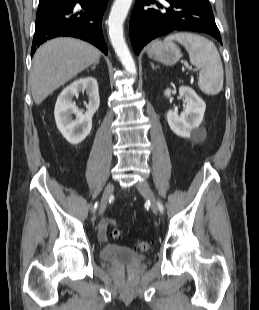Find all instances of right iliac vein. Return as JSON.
Masks as SVG:
<instances>
[{"label": "right iliac vein", "mask_w": 259, "mask_h": 310, "mask_svg": "<svg viewBox=\"0 0 259 310\" xmlns=\"http://www.w3.org/2000/svg\"><path fill=\"white\" fill-rule=\"evenodd\" d=\"M113 190H114V185L112 183H109L105 187V190H104L103 195H102L100 207H99V212H98L100 216L104 213V211L107 207V204H108V199L111 196V194L113 193Z\"/></svg>", "instance_id": "obj_1"}]
</instances>
